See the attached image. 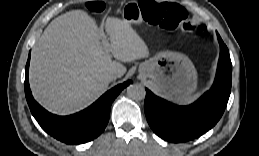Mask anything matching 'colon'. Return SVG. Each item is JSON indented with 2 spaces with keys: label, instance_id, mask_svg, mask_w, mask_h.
<instances>
[{
  "label": "colon",
  "instance_id": "obj_1",
  "mask_svg": "<svg viewBox=\"0 0 259 156\" xmlns=\"http://www.w3.org/2000/svg\"><path fill=\"white\" fill-rule=\"evenodd\" d=\"M87 7H88V9L91 12L101 13L105 9V4L103 2H101V1H95V2L89 3L87 5ZM146 19L148 21H151V22H157L158 21V16H157V14L155 12H150V13L147 14ZM186 29H188V30H195V31L202 30L201 27L194 26L192 24L186 25Z\"/></svg>",
  "mask_w": 259,
  "mask_h": 156
}]
</instances>
